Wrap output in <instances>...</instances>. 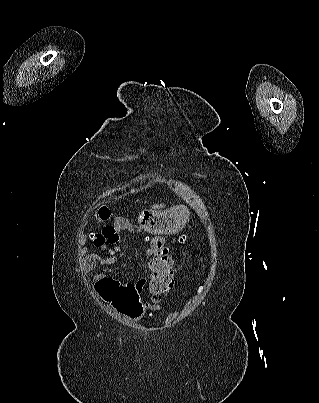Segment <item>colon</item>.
I'll return each mask as SVG.
<instances>
[{"mask_svg":"<svg viewBox=\"0 0 319 403\" xmlns=\"http://www.w3.org/2000/svg\"><path fill=\"white\" fill-rule=\"evenodd\" d=\"M108 215L107 206L100 207L95 213L99 221H105ZM165 240V234H150V237L141 235L135 241L137 250L148 254L151 270H149V282H146V291H150L153 300L159 301L169 300L171 287H176V278L172 270L175 268V259H169V252H161L166 246Z\"/></svg>","mask_w":319,"mask_h":403,"instance_id":"obj_1","label":"colon"}]
</instances>
